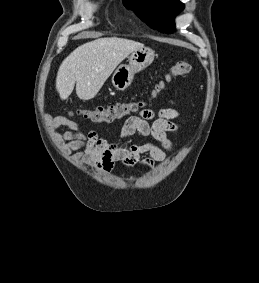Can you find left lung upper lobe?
Listing matches in <instances>:
<instances>
[{"label": "left lung upper lobe", "instance_id": "obj_1", "mask_svg": "<svg viewBox=\"0 0 259 283\" xmlns=\"http://www.w3.org/2000/svg\"><path fill=\"white\" fill-rule=\"evenodd\" d=\"M150 27L163 33L175 30L174 17L184 9L179 0H123Z\"/></svg>", "mask_w": 259, "mask_h": 283}]
</instances>
